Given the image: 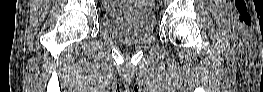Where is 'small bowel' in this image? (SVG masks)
<instances>
[{"label":"small bowel","instance_id":"1","mask_svg":"<svg viewBox=\"0 0 263 92\" xmlns=\"http://www.w3.org/2000/svg\"><path fill=\"white\" fill-rule=\"evenodd\" d=\"M143 6H144V8H147L149 6V4H144Z\"/></svg>","mask_w":263,"mask_h":92}]
</instances>
